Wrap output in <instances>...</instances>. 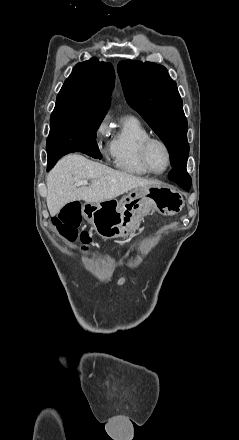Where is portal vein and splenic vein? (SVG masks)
<instances>
[{
    "label": "portal vein and splenic vein",
    "mask_w": 239,
    "mask_h": 440,
    "mask_svg": "<svg viewBox=\"0 0 239 440\" xmlns=\"http://www.w3.org/2000/svg\"><path fill=\"white\" fill-rule=\"evenodd\" d=\"M88 182L87 180H80V182H77L75 186H87Z\"/></svg>",
    "instance_id": "portal-vein-and-splenic-vein-1"
}]
</instances>
